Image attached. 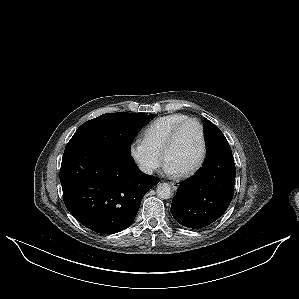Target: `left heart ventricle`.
<instances>
[{"mask_svg": "<svg viewBox=\"0 0 299 299\" xmlns=\"http://www.w3.org/2000/svg\"><path fill=\"white\" fill-rule=\"evenodd\" d=\"M199 147L200 135L197 127L187 126L178 134L169 152L168 164L177 171L192 166L198 157Z\"/></svg>", "mask_w": 299, "mask_h": 299, "instance_id": "obj_1", "label": "left heart ventricle"}]
</instances>
